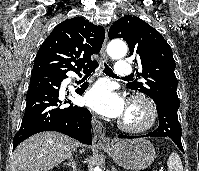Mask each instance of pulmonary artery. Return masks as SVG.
I'll list each match as a JSON object with an SVG mask.
<instances>
[{"label":"pulmonary artery","instance_id":"pulmonary-artery-1","mask_svg":"<svg viewBox=\"0 0 199 171\" xmlns=\"http://www.w3.org/2000/svg\"><path fill=\"white\" fill-rule=\"evenodd\" d=\"M133 71L132 65L128 61H118L115 67V74L119 76L130 75Z\"/></svg>","mask_w":199,"mask_h":171}]
</instances>
